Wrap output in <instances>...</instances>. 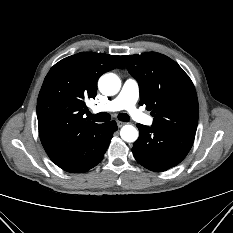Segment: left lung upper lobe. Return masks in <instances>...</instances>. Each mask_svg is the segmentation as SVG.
Listing matches in <instances>:
<instances>
[{
  "instance_id": "1",
  "label": "left lung upper lobe",
  "mask_w": 233,
  "mask_h": 233,
  "mask_svg": "<svg viewBox=\"0 0 233 233\" xmlns=\"http://www.w3.org/2000/svg\"><path fill=\"white\" fill-rule=\"evenodd\" d=\"M128 71L140 87V104L154 116L152 126L196 133L199 107L189 76L169 57L147 52L122 56Z\"/></svg>"
}]
</instances>
